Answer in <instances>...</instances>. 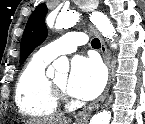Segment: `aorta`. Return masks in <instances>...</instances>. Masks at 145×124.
Segmentation results:
<instances>
[{
  "instance_id": "1",
  "label": "aorta",
  "mask_w": 145,
  "mask_h": 124,
  "mask_svg": "<svg viewBox=\"0 0 145 124\" xmlns=\"http://www.w3.org/2000/svg\"><path fill=\"white\" fill-rule=\"evenodd\" d=\"M79 18V15L75 12L60 13L56 19L55 27L57 29L74 25ZM90 20L96 26V28L102 33L104 37L113 39L116 36L115 28L110 19L102 12H93L90 15ZM59 70L63 73H67L69 70V62L66 57H60L55 60L53 65L48 68L47 75L54 76V73ZM111 119V113L109 111L100 112L92 117L90 124H109Z\"/></svg>"
}]
</instances>
